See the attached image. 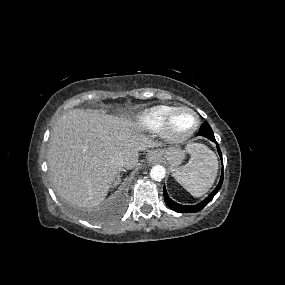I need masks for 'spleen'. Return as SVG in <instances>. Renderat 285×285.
<instances>
[{"label":"spleen","mask_w":285,"mask_h":285,"mask_svg":"<svg viewBox=\"0 0 285 285\" xmlns=\"http://www.w3.org/2000/svg\"><path fill=\"white\" fill-rule=\"evenodd\" d=\"M191 158L189 162L172 169L175 179L194 197L204 195L215 181L218 160L213 151L199 143L187 146Z\"/></svg>","instance_id":"spleen-1"}]
</instances>
